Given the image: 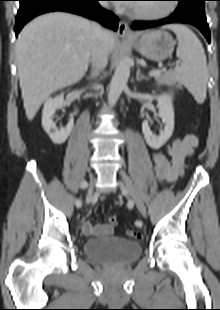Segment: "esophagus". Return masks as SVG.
<instances>
[{"mask_svg":"<svg viewBox=\"0 0 220 310\" xmlns=\"http://www.w3.org/2000/svg\"><path fill=\"white\" fill-rule=\"evenodd\" d=\"M117 33L121 37H131L132 36V33L129 29V26H128L127 22H125V21L119 22Z\"/></svg>","mask_w":220,"mask_h":310,"instance_id":"34e87169","label":"esophagus"}]
</instances>
